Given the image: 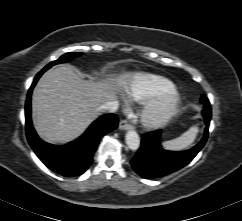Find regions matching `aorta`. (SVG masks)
<instances>
[{
    "label": "aorta",
    "mask_w": 242,
    "mask_h": 221,
    "mask_svg": "<svg viewBox=\"0 0 242 221\" xmlns=\"http://www.w3.org/2000/svg\"><path fill=\"white\" fill-rule=\"evenodd\" d=\"M126 144L131 150H137L140 146V137L137 132L130 130L125 136Z\"/></svg>",
    "instance_id": "762f6f07"
}]
</instances>
